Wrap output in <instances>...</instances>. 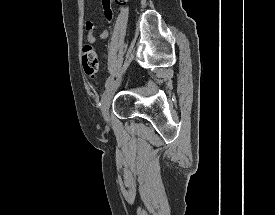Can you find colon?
Instances as JSON below:
<instances>
[{"label":"colon","mask_w":275,"mask_h":215,"mask_svg":"<svg viewBox=\"0 0 275 215\" xmlns=\"http://www.w3.org/2000/svg\"><path fill=\"white\" fill-rule=\"evenodd\" d=\"M124 0H117L118 4H123ZM82 67L87 77L95 78L98 70V53L90 44L84 45L81 55Z\"/></svg>","instance_id":"colon-1"}]
</instances>
